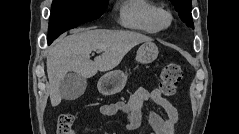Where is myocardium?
I'll return each mask as SVG.
<instances>
[{
	"label": "myocardium",
	"instance_id": "obj_1",
	"mask_svg": "<svg viewBox=\"0 0 239 134\" xmlns=\"http://www.w3.org/2000/svg\"><path fill=\"white\" fill-rule=\"evenodd\" d=\"M154 22L158 29H166L172 22V16L167 10L158 9L154 16Z\"/></svg>",
	"mask_w": 239,
	"mask_h": 134
}]
</instances>
